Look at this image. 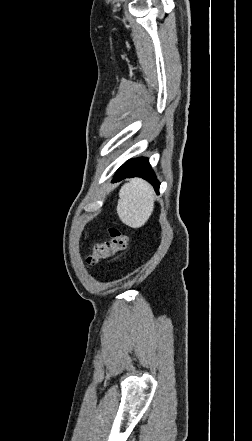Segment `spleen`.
<instances>
[{
	"mask_svg": "<svg viewBox=\"0 0 252 441\" xmlns=\"http://www.w3.org/2000/svg\"><path fill=\"white\" fill-rule=\"evenodd\" d=\"M153 208L154 190L146 181L135 178L120 189L117 213L124 224L132 228L143 226Z\"/></svg>",
	"mask_w": 252,
	"mask_h": 441,
	"instance_id": "3e777b00",
	"label": "spleen"
}]
</instances>
